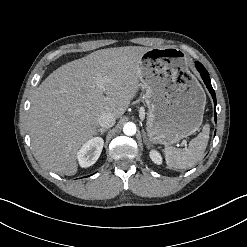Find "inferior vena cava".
<instances>
[{
  "label": "inferior vena cava",
  "mask_w": 247,
  "mask_h": 247,
  "mask_svg": "<svg viewBox=\"0 0 247 247\" xmlns=\"http://www.w3.org/2000/svg\"><path fill=\"white\" fill-rule=\"evenodd\" d=\"M115 122H116V118L114 114L110 112H105L101 114L100 117L98 118L99 126L102 128H110L114 126Z\"/></svg>",
  "instance_id": "1"
}]
</instances>
